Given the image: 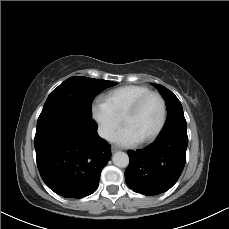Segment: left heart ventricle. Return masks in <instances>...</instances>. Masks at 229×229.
<instances>
[{
  "instance_id": "1",
  "label": "left heart ventricle",
  "mask_w": 229,
  "mask_h": 229,
  "mask_svg": "<svg viewBox=\"0 0 229 229\" xmlns=\"http://www.w3.org/2000/svg\"><path fill=\"white\" fill-rule=\"evenodd\" d=\"M162 107L157 97L147 98L139 110L128 120L124 128L132 137L143 139L151 135L159 126Z\"/></svg>"
}]
</instances>
